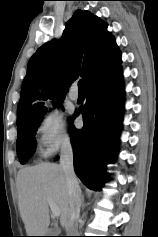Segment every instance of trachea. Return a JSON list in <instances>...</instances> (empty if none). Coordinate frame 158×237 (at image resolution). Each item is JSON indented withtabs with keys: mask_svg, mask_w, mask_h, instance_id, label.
Segmentation results:
<instances>
[{
	"mask_svg": "<svg viewBox=\"0 0 158 237\" xmlns=\"http://www.w3.org/2000/svg\"><path fill=\"white\" fill-rule=\"evenodd\" d=\"M78 89H79V92H85L86 91V89H85V80L84 79H81L78 82Z\"/></svg>",
	"mask_w": 158,
	"mask_h": 237,
	"instance_id": "1",
	"label": "trachea"
}]
</instances>
